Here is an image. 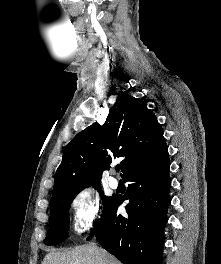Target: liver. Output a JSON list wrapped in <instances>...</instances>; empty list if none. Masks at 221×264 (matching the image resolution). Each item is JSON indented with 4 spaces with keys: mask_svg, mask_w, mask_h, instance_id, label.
Returning a JSON list of instances; mask_svg holds the SVG:
<instances>
[{
    "mask_svg": "<svg viewBox=\"0 0 221 264\" xmlns=\"http://www.w3.org/2000/svg\"><path fill=\"white\" fill-rule=\"evenodd\" d=\"M41 264H121L95 244L81 245L67 252H50Z\"/></svg>",
    "mask_w": 221,
    "mask_h": 264,
    "instance_id": "obj_1",
    "label": "liver"
}]
</instances>
